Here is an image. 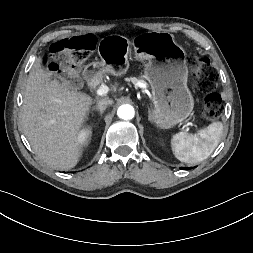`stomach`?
<instances>
[{"mask_svg": "<svg viewBox=\"0 0 253 253\" xmlns=\"http://www.w3.org/2000/svg\"><path fill=\"white\" fill-rule=\"evenodd\" d=\"M134 48L138 60H148L144 76L153 96V120L162 129H169L188 118L194 108V99L187 87L188 68L184 51L169 34L140 36L133 41L114 34L98 43L100 61L93 62L94 76H120L129 68L128 57Z\"/></svg>", "mask_w": 253, "mask_h": 253, "instance_id": "stomach-1", "label": "stomach"}]
</instances>
